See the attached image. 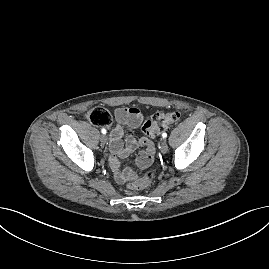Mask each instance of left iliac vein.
I'll use <instances>...</instances> for the list:
<instances>
[{
	"mask_svg": "<svg viewBox=\"0 0 269 269\" xmlns=\"http://www.w3.org/2000/svg\"><path fill=\"white\" fill-rule=\"evenodd\" d=\"M160 151L163 154H165L168 151V144L164 140L160 144Z\"/></svg>",
	"mask_w": 269,
	"mask_h": 269,
	"instance_id": "1",
	"label": "left iliac vein"
}]
</instances>
